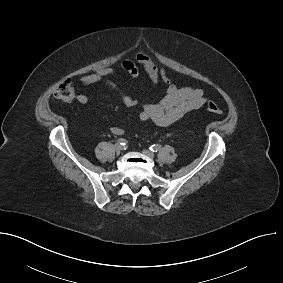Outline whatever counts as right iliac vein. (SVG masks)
Returning a JSON list of instances; mask_svg holds the SVG:
<instances>
[{
    "mask_svg": "<svg viewBox=\"0 0 283 283\" xmlns=\"http://www.w3.org/2000/svg\"><path fill=\"white\" fill-rule=\"evenodd\" d=\"M114 150H115L116 153H120L121 150H122V146L121 145H115Z\"/></svg>",
    "mask_w": 283,
    "mask_h": 283,
    "instance_id": "63e3f726",
    "label": "right iliac vein"
}]
</instances>
